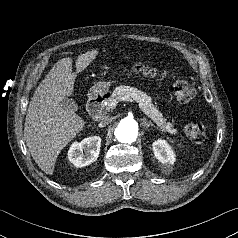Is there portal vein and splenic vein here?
Here are the masks:
<instances>
[{
  "label": "portal vein and splenic vein",
  "mask_w": 238,
  "mask_h": 238,
  "mask_svg": "<svg viewBox=\"0 0 238 238\" xmlns=\"http://www.w3.org/2000/svg\"><path fill=\"white\" fill-rule=\"evenodd\" d=\"M123 100H124V101H128V102H132V103L134 102V100L129 99V98H123ZM116 106H117V103H114V104L112 105L113 108H115Z\"/></svg>",
  "instance_id": "18ae733b"
}]
</instances>
